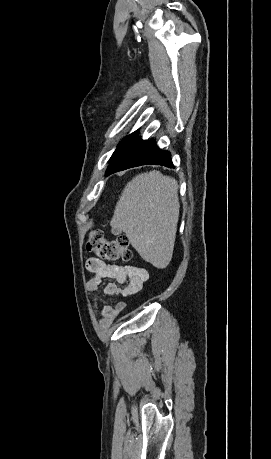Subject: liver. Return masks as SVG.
Listing matches in <instances>:
<instances>
[{"mask_svg": "<svg viewBox=\"0 0 271 459\" xmlns=\"http://www.w3.org/2000/svg\"><path fill=\"white\" fill-rule=\"evenodd\" d=\"M179 208L178 182L153 170L126 184L111 226L123 229L139 255L163 269L172 259Z\"/></svg>", "mask_w": 271, "mask_h": 459, "instance_id": "1", "label": "liver"}]
</instances>
